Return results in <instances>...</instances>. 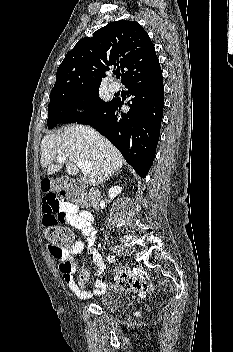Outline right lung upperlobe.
I'll return each instance as SVG.
<instances>
[{
    "label": "right lung upper lobe",
    "mask_w": 233,
    "mask_h": 352,
    "mask_svg": "<svg viewBox=\"0 0 233 352\" xmlns=\"http://www.w3.org/2000/svg\"><path fill=\"white\" fill-rule=\"evenodd\" d=\"M109 66L126 68L124 85L161 69L148 33L137 22L119 20L77 42L60 64L54 87L100 85Z\"/></svg>",
    "instance_id": "obj_1"
}]
</instances>
